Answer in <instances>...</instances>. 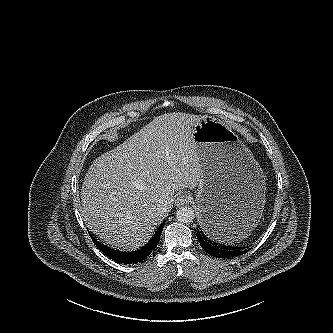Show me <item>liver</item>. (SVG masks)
Returning a JSON list of instances; mask_svg holds the SVG:
<instances>
[{"mask_svg":"<svg viewBox=\"0 0 333 333\" xmlns=\"http://www.w3.org/2000/svg\"><path fill=\"white\" fill-rule=\"evenodd\" d=\"M200 121L182 112L163 114L94 160L81 189L80 211L88 229L120 248L147 242L171 210L175 192L200 183L193 140Z\"/></svg>","mask_w":333,"mask_h":333,"instance_id":"6515ba94","label":"liver"}]
</instances>
